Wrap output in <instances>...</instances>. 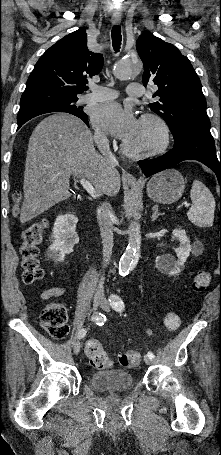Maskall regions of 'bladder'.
<instances>
[{
    "mask_svg": "<svg viewBox=\"0 0 221 455\" xmlns=\"http://www.w3.org/2000/svg\"><path fill=\"white\" fill-rule=\"evenodd\" d=\"M88 383L92 389L107 393L130 390L134 386L131 374L119 369L93 372Z\"/></svg>",
    "mask_w": 221,
    "mask_h": 455,
    "instance_id": "1",
    "label": "bladder"
}]
</instances>
